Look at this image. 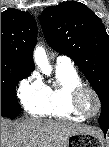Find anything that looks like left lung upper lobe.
<instances>
[{
	"label": "left lung upper lobe",
	"mask_w": 109,
	"mask_h": 147,
	"mask_svg": "<svg viewBox=\"0 0 109 147\" xmlns=\"http://www.w3.org/2000/svg\"><path fill=\"white\" fill-rule=\"evenodd\" d=\"M48 44L73 59L102 102L99 124L109 125V36L86 5L67 1L40 16Z\"/></svg>",
	"instance_id": "left-lung-upper-lobe-1"
}]
</instances>
